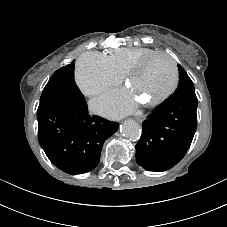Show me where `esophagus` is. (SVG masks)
<instances>
[{
	"label": "esophagus",
	"mask_w": 227,
	"mask_h": 227,
	"mask_svg": "<svg viewBox=\"0 0 227 227\" xmlns=\"http://www.w3.org/2000/svg\"><path fill=\"white\" fill-rule=\"evenodd\" d=\"M145 116L144 115H140V116H137L136 117V120L139 122V123H142L144 120H145Z\"/></svg>",
	"instance_id": "esophagus-1"
}]
</instances>
